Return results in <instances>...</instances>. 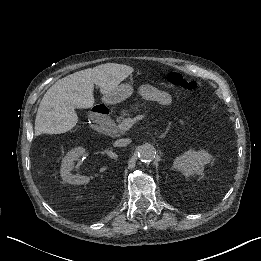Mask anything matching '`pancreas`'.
Here are the masks:
<instances>
[{"label":"pancreas","mask_w":261,"mask_h":261,"mask_svg":"<svg viewBox=\"0 0 261 261\" xmlns=\"http://www.w3.org/2000/svg\"><path fill=\"white\" fill-rule=\"evenodd\" d=\"M142 110H145V105L137 106L136 104H133L130 108L124 107L123 112H120V118H116L114 123L119 126L121 124V120H129L131 113L139 115Z\"/></svg>","instance_id":"1"}]
</instances>
